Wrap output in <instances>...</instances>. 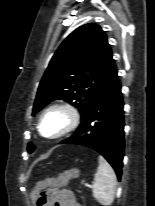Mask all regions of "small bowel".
Here are the masks:
<instances>
[{
  "mask_svg": "<svg viewBox=\"0 0 155 206\" xmlns=\"http://www.w3.org/2000/svg\"><path fill=\"white\" fill-rule=\"evenodd\" d=\"M46 193V201L42 206H80L73 194L62 188L48 189Z\"/></svg>",
  "mask_w": 155,
  "mask_h": 206,
  "instance_id": "c3829d8e",
  "label": "small bowel"
}]
</instances>
